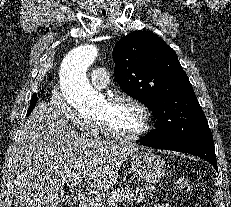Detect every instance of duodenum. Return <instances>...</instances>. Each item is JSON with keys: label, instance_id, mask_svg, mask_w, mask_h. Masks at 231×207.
I'll return each instance as SVG.
<instances>
[{"label": "duodenum", "instance_id": "obj_1", "mask_svg": "<svg viewBox=\"0 0 231 207\" xmlns=\"http://www.w3.org/2000/svg\"><path fill=\"white\" fill-rule=\"evenodd\" d=\"M78 207H88V202L85 199L80 200Z\"/></svg>", "mask_w": 231, "mask_h": 207}]
</instances>
